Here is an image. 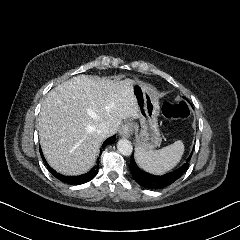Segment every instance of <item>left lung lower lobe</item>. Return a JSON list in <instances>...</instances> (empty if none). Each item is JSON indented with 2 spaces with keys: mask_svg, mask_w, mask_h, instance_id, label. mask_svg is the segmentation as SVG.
<instances>
[{
  "mask_svg": "<svg viewBox=\"0 0 240 240\" xmlns=\"http://www.w3.org/2000/svg\"><path fill=\"white\" fill-rule=\"evenodd\" d=\"M190 158L191 156L188 158L187 161H189ZM187 166H188V163H184L179 169L174 170L171 173L165 174L163 176H155L141 170L137 166L133 158V155L130 161V170H131L133 179L136 182H138L141 186L148 189H161L172 184L184 173Z\"/></svg>",
  "mask_w": 240,
  "mask_h": 240,
  "instance_id": "1",
  "label": "left lung lower lobe"
}]
</instances>
